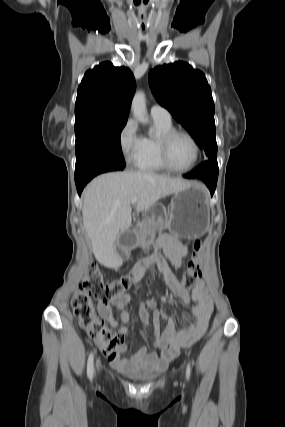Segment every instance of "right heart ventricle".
Instances as JSON below:
<instances>
[{"label": "right heart ventricle", "mask_w": 285, "mask_h": 427, "mask_svg": "<svg viewBox=\"0 0 285 427\" xmlns=\"http://www.w3.org/2000/svg\"><path fill=\"white\" fill-rule=\"evenodd\" d=\"M154 122L157 134L142 137L141 147L134 163L141 171L157 173L165 170L159 157V138L163 133L173 129V125L172 122L155 119Z\"/></svg>", "instance_id": "right-heart-ventricle-1"}]
</instances>
